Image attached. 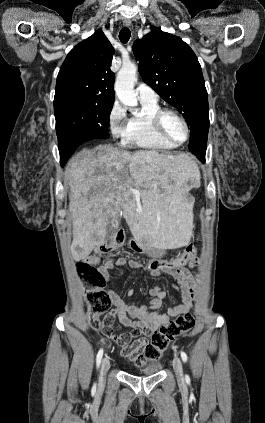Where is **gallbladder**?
<instances>
[{
  "label": "gallbladder",
  "instance_id": "gallbladder-1",
  "mask_svg": "<svg viewBox=\"0 0 265 423\" xmlns=\"http://www.w3.org/2000/svg\"><path fill=\"white\" fill-rule=\"evenodd\" d=\"M118 225H119V219L116 217L111 221L109 229L110 230L113 229V228L116 229L118 227Z\"/></svg>",
  "mask_w": 265,
  "mask_h": 423
}]
</instances>
